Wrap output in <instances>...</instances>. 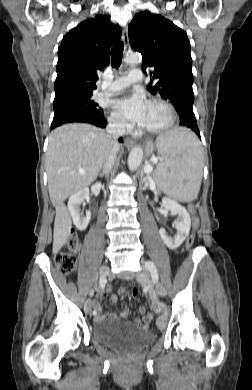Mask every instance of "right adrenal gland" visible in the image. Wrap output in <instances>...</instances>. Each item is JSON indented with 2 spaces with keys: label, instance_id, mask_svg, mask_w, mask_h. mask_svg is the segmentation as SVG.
<instances>
[{
  "label": "right adrenal gland",
  "instance_id": "obj_1",
  "mask_svg": "<svg viewBox=\"0 0 252 390\" xmlns=\"http://www.w3.org/2000/svg\"><path fill=\"white\" fill-rule=\"evenodd\" d=\"M105 175V173H100L99 176L100 177H103ZM108 175V174H107Z\"/></svg>",
  "mask_w": 252,
  "mask_h": 390
}]
</instances>
